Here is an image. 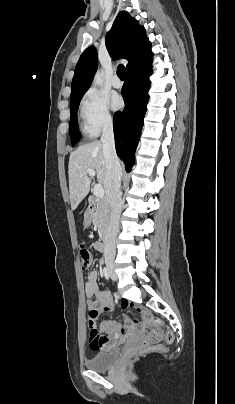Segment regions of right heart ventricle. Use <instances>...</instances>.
Here are the masks:
<instances>
[{
	"instance_id": "right-heart-ventricle-1",
	"label": "right heart ventricle",
	"mask_w": 235,
	"mask_h": 404,
	"mask_svg": "<svg viewBox=\"0 0 235 404\" xmlns=\"http://www.w3.org/2000/svg\"><path fill=\"white\" fill-rule=\"evenodd\" d=\"M81 128H82V132H83L84 134H86V135H88V136H92V135H93V134L90 132V130L88 129V127H87L85 121H83Z\"/></svg>"
}]
</instances>
